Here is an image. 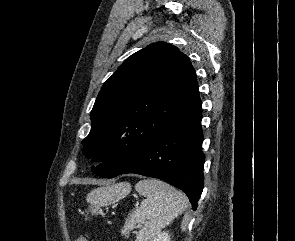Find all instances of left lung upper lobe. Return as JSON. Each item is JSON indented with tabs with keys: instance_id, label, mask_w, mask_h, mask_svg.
I'll return each instance as SVG.
<instances>
[{
	"instance_id": "1",
	"label": "left lung upper lobe",
	"mask_w": 295,
	"mask_h": 241,
	"mask_svg": "<svg viewBox=\"0 0 295 241\" xmlns=\"http://www.w3.org/2000/svg\"><path fill=\"white\" fill-rule=\"evenodd\" d=\"M201 104L188 57L165 42L134 53L104 83L91 111L83 154L109 178L147 142Z\"/></svg>"
}]
</instances>
